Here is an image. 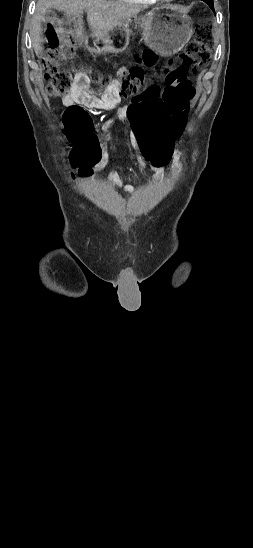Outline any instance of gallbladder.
Returning <instances> with one entry per match:
<instances>
[{
	"label": "gallbladder",
	"mask_w": 253,
	"mask_h": 548,
	"mask_svg": "<svg viewBox=\"0 0 253 548\" xmlns=\"http://www.w3.org/2000/svg\"><path fill=\"white\" fill-rule=\"evenodd\" d=\"M56 17V13L54 10H48L44 16L43 21H50L53 20Z\"/></svg>",
	"instance_id": "obj_1"
}]
</instances>
